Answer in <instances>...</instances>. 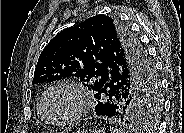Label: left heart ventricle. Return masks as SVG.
Returning <instances> with one entry per match:
<instances>
[{
	"mask_svg": "<svg viewBox=\"0 0 184 133\" xmlns=\"http://www.w3.org/2000/svg\"><path fill=\"white\" fill-rule=\"evenodd\" d=\"M77 107L75 95L67 89L54 90L46 100V111L53 119L70 116Z\"/></svg>",
	"mask_w": 184,
	"mask_h": 133,
	"instance_id": "left-heart-ventricle-1",
	"label": "left heart ventricle"
}]
</instances>
